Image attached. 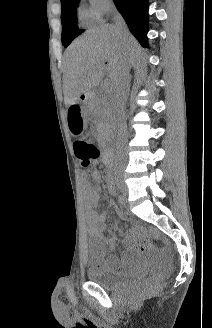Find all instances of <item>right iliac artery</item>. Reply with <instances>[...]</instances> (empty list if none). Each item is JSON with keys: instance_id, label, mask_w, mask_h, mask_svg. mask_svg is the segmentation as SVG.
<instances>
[{"instance_id": "1", "label": "right iliac artery", "mask_w": 212, "mask_h": 328, "mask_svg": "<svg viewBox=\"0 0 212 328\" xmlns=\"http://www.w3.org/2000/svg\"><path fill=\"white\" fill-rule=\"evenodd\" d=\"M118 201L120 204H124V198L122 196H119Z\"/></svg>"}]
</instances>
